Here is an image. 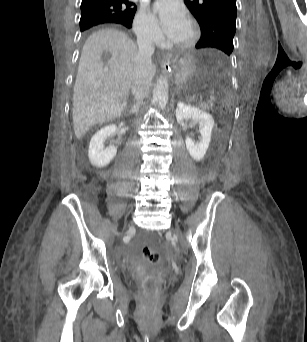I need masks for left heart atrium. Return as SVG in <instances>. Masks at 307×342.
Wrapping results in <instances>:
<instances>
[{
  "label": "left heart atrium",
  "mask_w": 307,
  "mask_h": 342,
  "mask_svg": "<svg viewBox=\"0 0 307 342\" xmlns=\"http://www.w3.org/2000/svg\"><path fill=\"white\" fill-rule=\"evenodd\" d=\"M154 29L153 40L158 43L177 44L189 33V21L172 3L156 4L148 14Z\"/></svg>",
  "instance_id": "39dd6f15"
}]
</instances>
